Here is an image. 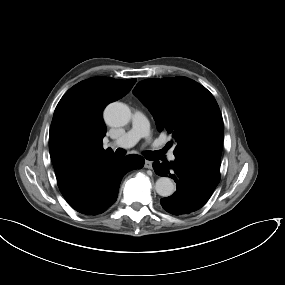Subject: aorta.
<instances>
[{
	"label": "aorta",
	"instance_id": "obj_1",
	"mask_svg": "<svg viewBox=\"0 0 285 285\" xmlns=\"http://www.w3.org/2000/svg\"><path fill=\"white\" fill-rule=\"evenodd\" d=\"M104 118L108 125L120 127L131 119V111L121 102L109 104L104 111ZM176 189L174 182L168 177H160L155 183V190L162 197L171 196Z\"/></svg>",
	"mask_w": 285,
	"mask_h": 285
}]
</instances>
